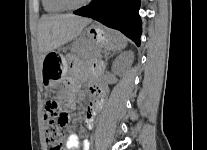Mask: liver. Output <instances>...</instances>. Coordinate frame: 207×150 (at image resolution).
<instances>
[{
	"instance_id": "obj_1",
	"label": "liver",
	"mask_w": 207,
	"mask_h": 150,
	"mask_svg": "<svg viewBox=\"0 0 207 150\" xmlns=\"http://www.w3.org/2000/svg\"><path fill=\"white\" fill-rule=\"evenodd\" d=\"M90 18L70 14L43 15L38 24V47L42 60L49 52L76 39Z\"/></svg>"
}]
</instances>
